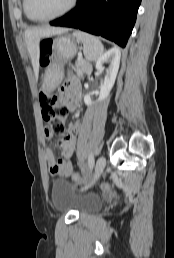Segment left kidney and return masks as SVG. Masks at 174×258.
Here are the masks:
<instances>
[{
    "label": "left kidney",
    "instance_id": "5707ae66",
    "mask_svg": "<svg viewBox=\"0 0 174 258\" xmlns=\"http://www.w3.org/2000/svg\"><path fill=\"white\" fill-rule=\"evenodd\" d=\"M120 57L121 53L119 48L113 47L109 49L106 53L101 55L96 62V69L101 70L103 68V64L105 62H109L110 66L106 70V75L104 78V82L100 87V93L98 101H103L106 99L115 83L116 76L118 73L119 65H120ZM84 102L87 106H91L93 104L90 95L84 96Z\"/></svg>",
    "mask_w": 174,
    "mask_h": 258
}]
</instances>
